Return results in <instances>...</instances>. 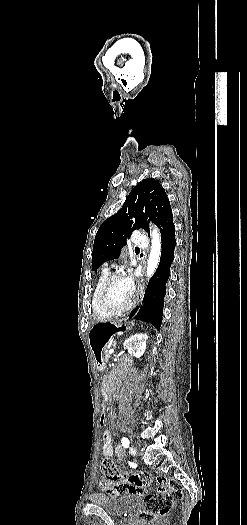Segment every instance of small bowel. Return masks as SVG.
Instances as JSON below:
<instances>
[{
  "label": "small bowel",
  "instance_id": "obj_1",
  "mask_svg": "<svg viewBox=\"0 0 247 525\" xmlns=\"http://www.w3.org/2000/svg\"><path fill=\"white\" fill-rule=\"evenodd\" d=\"M102 440H103L102 449H103L104 456L107 457V458H110V459H115L116 463L118 464L120 462L121 451H120V449H116L115 450L113 448V445H112V434H111V432L109 430H105L103 432ZM99 485H100V487L105 488V490H104L105 495H107V496L112 495V493H113L112 488L107 487L108 485H110V482H107L106 480L101 479L99 481Z\"/></svg>",
  "mask_w": 247,
  "mask_h": 525
}]
</instances>
